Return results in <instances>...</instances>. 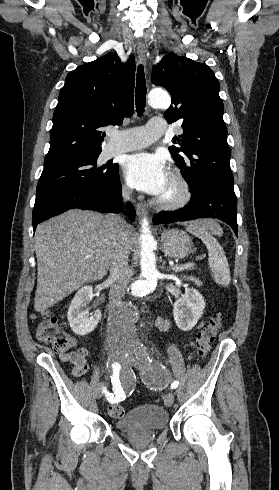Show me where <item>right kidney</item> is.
I'll use <instances>...</instances> for the list:
<instances>
[{
  "label": "right kidney",
  "mask_w": 279,
  "mask_h": 490,
  "mask_svg": "<svg viewBox=\"0 0 279 490\" xmlns=\"http://www.w3.org/2000/svg\"><path fill=\"white\" fill-rule=\"evenodd\" d=\"M93 288L92 286H84L76 292L67 312L68 322L71 330L77 334V336H86L90 334L94 328H96L98 322L101 320L100 310H95L93 314H89L86 308V302L92 300Z\"/></svg>",
  "instance_id": "ca27d5eb"
}]
</instances>
